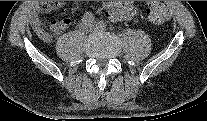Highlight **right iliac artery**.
Masks as SVG:
<instances>
[{
  "instance_id": "obj_1",
  "label": "right iliac artery",
  "mask_w": 207,
  "mask_h": 121,
  "mask_svg": "<svg viewBox=\"0 0 207 121\" xmlns=\"http://www.w3.org/2000/svg\"><path fill=\"white\" fill-rule=\"evenodd\" d=\"M84 20L86 22H89V23H94L95 22V16L92 13L87 12V13L84 14Z\"/></svg>"
}]
</instances>
